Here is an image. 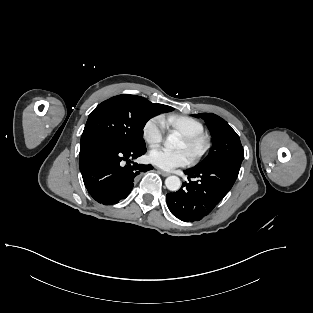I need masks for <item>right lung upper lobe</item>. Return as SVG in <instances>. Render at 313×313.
Returning a JSON list of instances; mask_svg holds the SVG:
<instances>
[{
    "label": "right lung upper lobe",
    "instance_id": "right-lung-upper-lobe-1",
    "mask_svg": "<svg viewBox=\"0 0 313 313\" xmlns=\"http://www.w3.org/2000/svg\"><path fill=\"white\" fill-rule=\"evenodd\" d=\"M162 107H164V108H166V107H170V106H166V105H162V104H160Z\"/></svg>",
    "mask_w": 313,
    "mask_h": 313
}]
</instances>
